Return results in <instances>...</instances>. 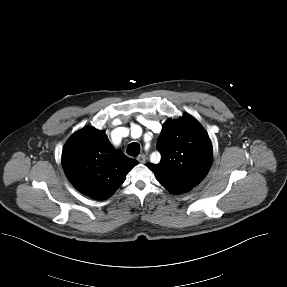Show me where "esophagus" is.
<instances>
[{
	"instance_id": "esophagus-1",
	"label": "esophagus",
	"mask_w": 287,
	"mask_h": 287,
	"mask_svg": "<svg viewBox=\"0 0 287 287\" xmlns=\"http://www.w3.org/2000/svg\"><path fill=\"white\" fill-rule=\"evenodd\" d=\"M137 160L140 162V163H145L146 161V157L145 155L141 154L137 157Z\"/></svg>"
}]
</instances>
